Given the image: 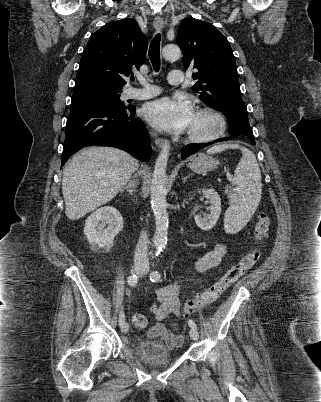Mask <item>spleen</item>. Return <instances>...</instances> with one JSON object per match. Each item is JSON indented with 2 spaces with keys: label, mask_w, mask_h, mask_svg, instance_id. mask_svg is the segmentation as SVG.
Instances as JSON below:
<instances>
[{
  "label": "spleen",
  "mask_w": 321,
  "mask_h": 402,
  "mask_svg": "<svg viewBox=\"0 0 321 402\" xmlns=\"http://www.w3.org/2000/svg\"><path fill=\"white\" fill-rule=\"evenodd\" d=\"M226 149H240V159L229 191L230 206L225 212L224 229L233 234L240 231L250 220L261 199V171L252 151L238 144L223 143L207 150L208 154L220 153Z\"/></svg>",
  "instance_id": "obj_1"
}]
</instances>
